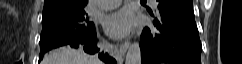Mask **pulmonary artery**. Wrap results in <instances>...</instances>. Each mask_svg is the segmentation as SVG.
Returning a JSON list of instances; mask_svg holds the SVG:
<instances>
[{
    "instance_id": "obj_1",
    "label": "pulmonary artery",
    "mask_w": 242,
    "mask_h": 64,
    "mask_svg": "<svg viewBox=\"0 0 242 64\" xmlns=\"http://www.w3.org/2000/svg\"><path fill=\"white\" fill-rule=\"evenodd\" d=\"M152 2L154 4H157L155 0H153ZM120 4H121V0H101L99 2V6L105 10L116 8Z\"/></svg>"
}]
</instances>
